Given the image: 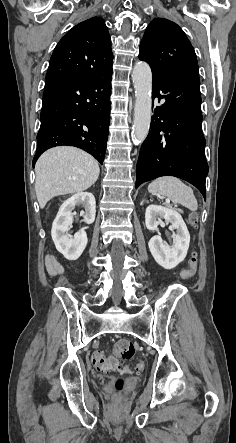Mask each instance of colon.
<instances>
[{"instance_id": "1", "label": "colon", "mask_w": 236, "mask_h": 443, "mask_svg": "<svg viewBox=\"0 0 236 443\" xmlns=\"http://www.w3.org/2000/svg\"><path fill=\"white\" fill-rule=\"evenodd\" d=\"M191 224H195L197 221V216L195 213L190 215ZM197 268V256L193 254L190 259V266L181 272L182 279H189L194 276ZM135 354V346L129 339H118L112 349L110 355H106L101 351L94 352L92 355L93 366L100 371H115V370H128L126 362L131 360ZM136 370L142 372L145 370V364L143 362H138L136 365ZM124 388V382L122 380H117L113 385L114 397H117Z\"/></svg>"}]
</instances>
